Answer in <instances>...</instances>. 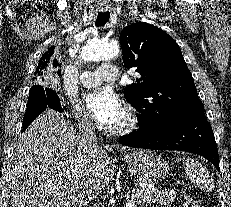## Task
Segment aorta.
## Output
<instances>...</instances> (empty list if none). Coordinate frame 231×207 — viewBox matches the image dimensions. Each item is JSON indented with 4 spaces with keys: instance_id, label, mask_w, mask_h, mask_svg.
I'll return each mask as SVG.
<instances>
[{
    "instance_id": "762f6f07",
    "label": "aorta",
    "mask_w": 231,
    "mask_h": 207,
    "mask_svg": "<svg viewBox=\"0 0 231 207\" xmlns=\"http://www.w3.org/2000/svg\"><path fill=\"white\" fill-rule=\"evenodd\" d=\"M119 55L120 49L117 44L101 39H92L84 45L80 57L84 61H101L111 60Z\"/></svg>"
}]
</instances>
